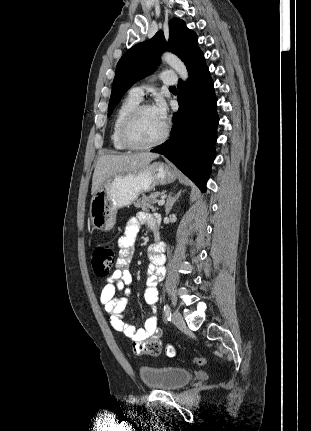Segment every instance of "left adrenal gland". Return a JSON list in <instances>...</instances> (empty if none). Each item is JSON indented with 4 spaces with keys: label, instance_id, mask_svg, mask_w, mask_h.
Returning <instances> with one entry per match:
<instances>
[{
    "label": "left adrenal gland",
    "instance_id": "obj_1",
    "mask_svg": "<svg viewBox=\"0 0 311 431\" xmlns=\"http://www.w3.org/2000/svg\"><path fill=\"white\" fill-rule=\"evenodd\" d=\"M181 192H182V190H180V192H178V194H175V196H172V192H170V194L166 200V204H165L166 216H167V214H169L173 204H175L176 200H178Z\"/></svg>",
    "mask_w": 311,
    "mask_h": 431
}]
</instances>
